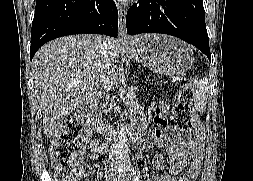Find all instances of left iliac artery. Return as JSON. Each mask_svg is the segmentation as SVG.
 <instances>
[{"instance_id": "44dca946", "label": "left iliac artery", "mask_w": 253, "mask_h": 181, "mask_svg": "<svg viewBox=\"0 0 253 181\" xmlns=\"http://www.w3.org/2000/svg\"><path fill=\"white\" fill-rule=\"evenodd\" d=\"M127 163H128V165H129V167H130V161L128 160L127 161ZM133 171V181H139V178H138V176H136V173L134 172V170H132Z\"/></svg>"}]
</instances>
